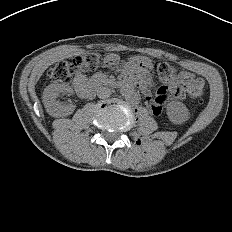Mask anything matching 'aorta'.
I'll use <instances>...</instances> for the list:
<instances>
[{
    "label": "aorta",
    "mask_w": 232,
    "mask_h": 232,
    "mask_svg": "<svg viewBox=\"0 0 232 232\" xmlns=\"http://www.w3.org/2000/svg\"><path fill=\"white\" fill-rule=\"evenodd\" d=\"M120 93L124 97H131L135 94V88L131 84H126L120 88Z\"/></svg>",
    "instance_id": "aorta-1"
}]
</instances>
